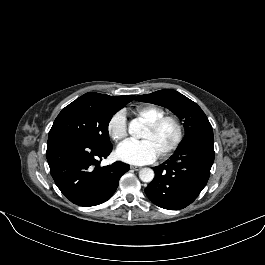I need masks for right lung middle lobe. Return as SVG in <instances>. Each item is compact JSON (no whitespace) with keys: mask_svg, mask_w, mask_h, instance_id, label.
<instances>
[{"mask_svg":"<svg viewBox=\"0 0 265 265\" xmlns=\"http://www.w3.org/2000/svg\"><path fill=\"white\" fill-rule=\"evenodd\" d=\"M118 110L120 109H105L76 99L59 113L48 137L60 134L78 135L95 144L110 146L108 124Z\"/></svg>","mask_w":265,"mask_h":265,"instance_id":"dd1d6c3e","label":"right lung middle lobe"}]
</instances>
